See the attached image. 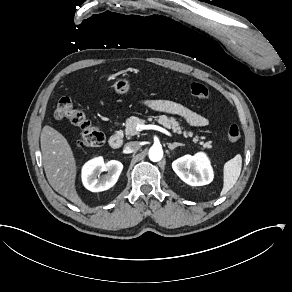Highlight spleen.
<instances>
[{
    "label": "spleen",
    "instance_id": "obj_1",
    "mask_svg": "<svg viewBox=\"0 0 292 292\" xmlns=\"http://www.w3.org/2000/svg\"><path fill=\"white\" fill-rule=\"evenodd\" d=\"M242 168V157L237 154L224 164V184L221 195H225L237 182Z\"/></svg>",
    "mask_w": 292,
    "mask_h": 292
}]
</instances>
